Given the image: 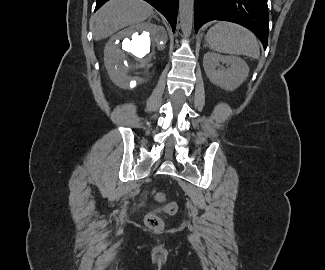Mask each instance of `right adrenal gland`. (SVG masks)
Wrapping results in <instances>:
<instances>
[{
	"label": "right adrenal gland",
	"mask_w": 325,
	"mask_h": 270,
	"mask_svg": "<svg viewBox=\"0 0 325 270\" xmlns=\"http://www.w3.org/2000/svg\"><path fill=\"white\" fill-rule=\"evenodd\" d=\"M152 17H154L155 19H157L158 21H160L159 18H157L156 15H152Z\"/></svg>",
	"instance_id": "obj_1"
}]
</instances>
